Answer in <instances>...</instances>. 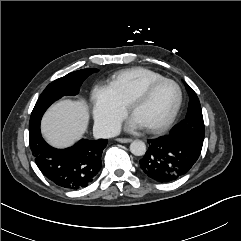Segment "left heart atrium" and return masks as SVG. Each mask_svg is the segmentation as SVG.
Listing matches in <instances>:
<instances>
[{"mask_svg":"<svg viewBox=\"0 0 241 241\" xmlns=\"http://www.w3.org/2000/svg\"><path fill=\"white\" fill-rule=\"evenodd\" d=\"M130 127L132 128H142L145 127L142 123H140L136 118L132 117L130 120Z\"/></svg>","mask_w":241,"mask_h":241,"instance_id":"obj_1","label":"left heart atrium"}]
</instances>
